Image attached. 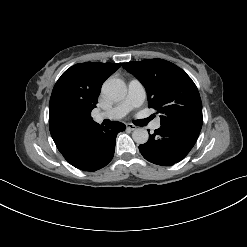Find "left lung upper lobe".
I'll use <instances>...</instances> for the list:
<instances>
[{"instance_id":"obj_1","label":"left lung upper lobe","mask_w":247,"mask_h":247,"mask_svg":"<svg viewBox=\"0 0 247 247\" xmlns=\"http://www.w3.org/2000/svg\"><path fill=\"white\" fill-rule=\"evenodd\" d=\"M122 67L143 84L148 106L161 113V125L201 131V98L196 85L181 68L163 59L132 61Z\"/></svg>"}]
</instances>
